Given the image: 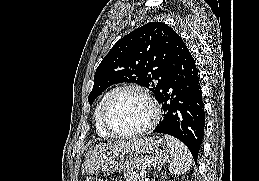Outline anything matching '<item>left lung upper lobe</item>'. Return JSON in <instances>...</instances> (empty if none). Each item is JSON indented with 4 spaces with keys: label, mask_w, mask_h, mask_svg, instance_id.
I'll return each instance as SVG.
<instances>
[{
    "label": "left lung upper lobe",
    "mask_w": 259,
    "mask_h": 181,
    "mask_svg": "<svg viewBox=\"0 0 259 181\" xmlns=\"http://www.w3.org/2000/svg\"><path fill=\"white\" fill-rule=\"evenodd\" d=\"M178 37L168 25L151 22L121 38L95 72L89 103L111 85L122 82L142 85L157 99L171 69Z\"/></svg>",
    "instance_id": "5c2ea615"
}]
</instances>
